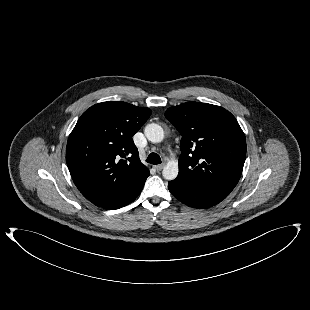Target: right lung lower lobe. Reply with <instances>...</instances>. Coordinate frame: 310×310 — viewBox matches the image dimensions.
I'll list each match as a JSON object with an SVG mask.
<instances>
[{
    "label": "right lung lower lobe",
    "mask_w": 310,
    "mask_h": 310,
    "mask_svg": "<svg viewBox=\"0 0 310 310\" xmlns=\"http://www.w3.org/2000/svg\"><path fill=\"white\" fill-rule=\"evenodd\" d=\"M142 190V189H141ZM141 190L135 195L133 196L132 198L126 200V201H123V202H119V203H113V204H109V205H105V206H101L102 208H105V209H117V208H121L129 203H131L132 201H134L137 196L140 194Z\"/></svg>",
    "instance_id": "98d812e1"
}]
</instances>
